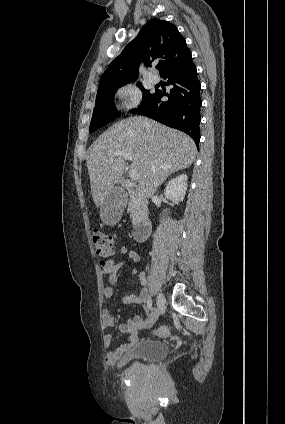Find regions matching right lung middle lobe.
Segmentation results:
<instances>
[{
    "instance_id": "1",
    "label": "right lung middle lobe",
    "mask_w": 285,
    "mask_h": 424,
    "mask_svg": "<svg viewBox=\"0 0 285 424\" xmlns=\"http://www.w3.org/2000/svg\"><path fill=\"white\" fill-rule=\"evenodd\" d=\"M127 83L130 82L114 84L98 89L96 96V104L89 128L90 133L94 132L99 127L111 122L118 116L114 105V94L116 93L118 88L123 85H126ZM137 86L143 91V99L141 105H144L152 98L154 93H150L149 90L144 89L141 83H137Z\"/></svg>"
}]
</instances>
